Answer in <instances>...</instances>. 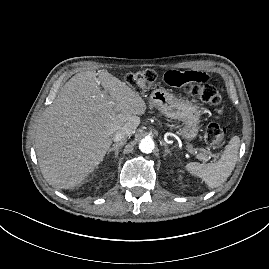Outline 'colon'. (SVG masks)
Returning a JSON list of instances; mask_svg holds the SVG:
<instances>
[{
	"label": "colon",
	"instance_id": "colon-1",
	"mask_svg": "<svg viewBox=\"0 0 269 269\" xmlns=\"http://www.w3.org/2000/svg\"><path fill=\"white\" fill-rule=\"evenodd\" d=\"M156 80L157 73L152 69H147L138 73H131L126 76L127 84L139 93H143L150 89ZM212 84L204 86L200 83L188 81L182 87L186 94L197 96L200 102H208L209 104L217 107L215 112L216 121L207 126L205 140L208 144L219 147L224 142L227 130L226 127L218 123V121L223 117V108L221 107L222 96L217 86L214 83ZM172 86L176 85L173 84Z\"/></svg>",
	"mask_w": 269,
	"mask_h": 269
}]
</instances>
